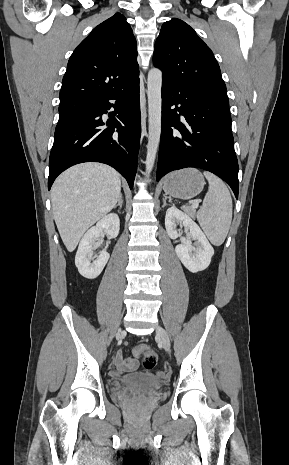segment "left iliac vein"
Wrapping results in <instances>:
<instances>
[{
	"mask_svg": "<svg viewBox=\"0 0 289 465\" xmlns=\"http://www.w3.org/2000/svg\"><path fill=\"white\" fill-rule=\"evenodd\" d=\"M156 333L160 337L161 342L166 351H170V340L167 332L160 326L156 328Z\"/></svg>",
	"mask_w": 289,
	"mask_h": 465,
	"instance_id": "4c4485c4",
	"label": "left iliac vein"
}]
</instances>
